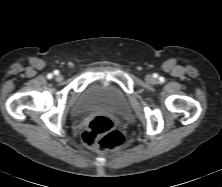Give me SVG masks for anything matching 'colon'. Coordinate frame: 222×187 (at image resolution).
<instances>
[{"label":"colon","mask_w":222,"mask_h":187,"mask_svg":"<svg viewBox=\"0 0 222 187\" xmlns=\"http://www.w3.org/2000/svg\"><path fill=\"white\" fill-rule=\"evenodd\" d=\"M82 139L87 146L101 150L117 149L125 143L123 134L107 116L93 118L84 130Z\"/></svg>","instance_id":"colon-1"}]
</instances>
